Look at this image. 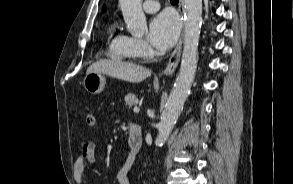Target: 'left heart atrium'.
I'll return each mask as SVG.
<instances>
[{
  "label": "left heart atrium",
  "instance_id": "1",
  "mask_svg": "<svg viewBox=\"0 0 293 184\" xmlns=\"http://www.w3.org/2000/svg\"><path fill=\"white\" fill-rule=\"evenodd\" d=\"M179 30L180 23L176 15L162 12L151 20L148 38L157 50L166 51L175 43Z\"/></svg>",
  "mask_w": 293,
  "mask_h": 184
}]
</instances>
